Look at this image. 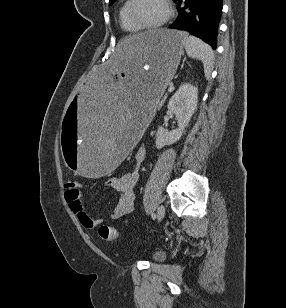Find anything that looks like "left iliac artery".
Wrapping results in <instances>:
<instances>
[{
    "label": "left iliac artery",
    "mask_w": 286,
    "mask_h": 308,
    "mask_svg": "<svg viewBox=\"0 0 286 308\" xmlns=\"http://www.w3.org/2000/svg\"><path fill=\"white\" fill-rule=\"evenodd\" d=\"M152 218L155 219L156 215L154 213L151 214Z\"/></svg>",
    "instance_id": "obj_1"
}]
</instances>
